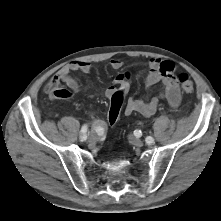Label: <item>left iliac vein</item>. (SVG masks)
Here are the masks:
<instances>
[{"label":"left iliac vein","instance_id":"1","mask_svg":"<svg viewBox=\"0 0 221 221\" xmlns=\"http://www.w3.org/2000/svg\"><path fill=\"white\" fill-rule=\"evenodd\" d=\"M129 141L131 144H133L137 147L143 146V141L135 136H129ZM152 144H154V139H153V142L149 145H152Z\"/></svg>","mask_w":221,"mask_h":221}]
</instances>
